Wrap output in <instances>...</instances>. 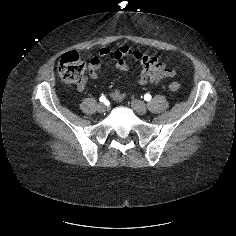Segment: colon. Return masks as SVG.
<instances>
[{
  "instance_id": "1",
  "label": "colon",
  "mask_w": 236,
  "mask_h": 236,
  "mask_svg": "<svg viewBox=\"0 0 236 236\" xmlns=\"http://www.w3.org/2000/svg\"><path fill=\"white\" fill-rule=\"evenodd\" d=\"M58 72L65 82L79 86L86 81L87 65L77 52L69 51L60 58ZM179 88L180 84L177 82H172L169 85V89L172 91H177Z\"/></svg>"
}]
</instances>
